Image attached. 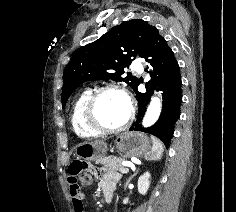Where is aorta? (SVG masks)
<instances>
[{"label": "aorta", "instance_id": "1", "mask_svg": "<svg viewBox=\"0 0 236 212\" xmlns=\"http://www.w3.org/2000/svg\"><path fill=\"white\" fill-rule=\"evenodd\" d=\"M160 113L161 101L158 97H153L143 118V126L149 127L153 125L158 120Z\"/></svg>", "mask_w": 236, "mask_h": 212}]
</instances>
